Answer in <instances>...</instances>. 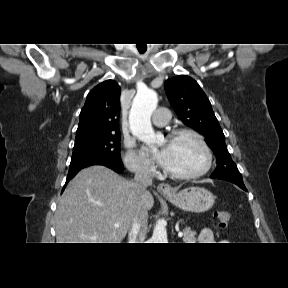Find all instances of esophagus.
Instances as JSON below:
<instances>
[{"mask_svg": "<svg viewBox=\"0 0 288 288\" xmlns=\"http://www.w3.org/2000/svg\"><path fill=\"white\" fill-rule=\"evenodd\" d=\"M157 190L163 195H171L174 193L172 186L167 183H160L157 187Z\"/></svg>", "mask_w": 288, "mask_h": 288, "instance_id": "esophagus-1", "label": "esophagus"}]
</instances>
